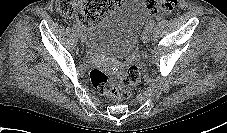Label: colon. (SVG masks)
Here are the masks:
<instances>
[{"label": "colon", "mask_w": 227, "mask_h": 133, "mask_svg": "<svg viewBox=\"0 0 227 133\" xmlns=\"http://www.w3.org/2000/svg\"><path fill=\"white\" fill-rule=\"evenodd\" d=\"M122 0H57L56 10L64 18L77 17L85 26H91L121 5ZM177 5V0H148L147 8L153 14L168 15ZM141 78L140 70L131 65L111 75L100 69L90 72V81L101 94L116 99H128Z\"/></svg>", "instance_id": "5ec220e1"}]
</instances>
